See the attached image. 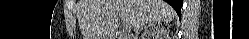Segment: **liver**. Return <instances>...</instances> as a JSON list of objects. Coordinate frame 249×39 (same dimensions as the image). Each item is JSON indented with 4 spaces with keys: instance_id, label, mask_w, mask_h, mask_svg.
Wrapping results in <instances>:
<instances>
[{
    "instance_id": "obj_1",
    "label": "liver",
    "mask_w": 249,
    "mask_h": 39,
    "mask_svg": "<svg viewBox=\"0 0 249 39\" xmlns=\"http://www.w3.org/2000/svg\"><path fill=\"white\" fill-rule=\"evenodd\" d=\"M176 16L171 6L162 0H83L79 22L84 39H113L119 21L131 28L139 21L170 22Z\"/></svg>"
}]
</instances>
